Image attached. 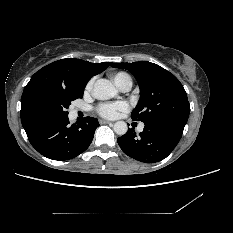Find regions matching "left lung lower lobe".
Wrapping results in <instances>:
<instances>
[{"label": "left lung lower lobe", "mask_w": 233, "mask_h": 233, "mask_svg": "<svg viewBox=\"0 0 233 233\" xmlns=\"http://www.w3.org/2000/svg\"><path fill=\"white\" fill-rule=\"evenodd\" d=\"M144 131L136 135L134 129L119 137L117 142L122 151L131 158L144 163L165 159L180 141L183 129L144 123Z\"/></svg>", "instance_id": "left-lung-lower-lobe-1"}]
</instances>
